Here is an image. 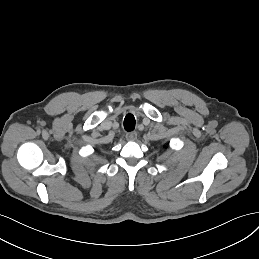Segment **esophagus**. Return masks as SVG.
Segmentation results:
<instances>
[{"mask_svg":"<svg viewBox=\"0 0 259 259\" xmlns=\"http://www.w3.org/2000/svg\"><path fill=\"white\" fill-rule=\"evenodd\" d=\"M136 138H137V133L135 131H131L126 134L127 141H134Z\"/></svg>","mask_w":259,"mask_h":259,"instance_id":"34e87169","label":"esophagus"}]
</instances>
